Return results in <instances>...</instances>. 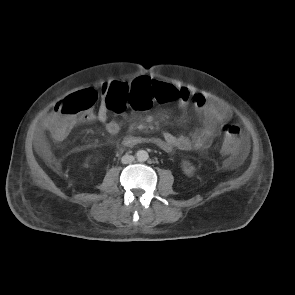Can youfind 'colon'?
<instances>
[{
    "instance_id": "1",
    "label": "colon",
    "mask_w": 295,
    "mask_h": 295,
    "mask_svg": "<svg viewBox=\"0 0 295 295\" xmlns=\"http://www.w3.org/2000/svg\"><path fill=\"white\" fill-rule=\"evenodd\" d=\"M105 101L115 111H123L127 104L131 110H153L154 102H171L176 98L175 88L166 83L144 82L137 87L113 83L106 87ZM98 97L94 88H88L69 95L55 106L56 117L49 132L55 140L65 139L74 127L93 108ZM240 130L235 125L224 129L223 149L234 153L240 149Z\"/></svg>"
}]
</instances>
